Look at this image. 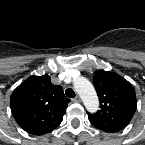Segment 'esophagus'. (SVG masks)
<instances>
[{
	"mask_svg": "<svg viewBox=\"0 0 145 145\" xmlns=\"http://www.w3.org/2000/svg\"><path fill=\"white\" fill-rule=\"evenodd\" d=\"M74 102H81V98L80 96H76L74 99H73Z\"/></svg>",
	"mask_w": 145,
	"mask_h": 145,
	"instance_id": "obj_1",
	"label": "esophagus"
}]
</instances>
